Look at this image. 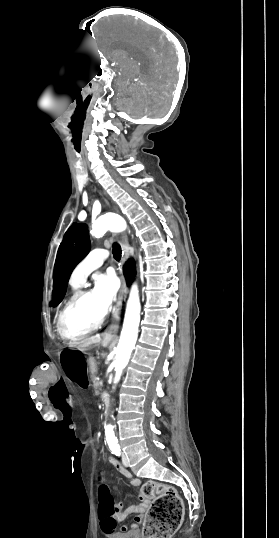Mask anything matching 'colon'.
<instances>
[{
  "label": "colon",
  "mask_w": 279,
  "mask_h": 538,
  "mask_svg": "<svg viewBox=\"0 0 279 538\" xmlns=\"http://www.w3.org/2000/svg\"><path fill=\"white\" fill-rule=\"evenodd\" d=\"M142 494L153 499L143 528V537L170 538L183 518V503L177 491L173 487L149 481L142 486ZM98 498L100 517H113L116 508L102 476H98Z\"/></svg>",
  "instance_id": "5ec220e1"
}]
</instances>
